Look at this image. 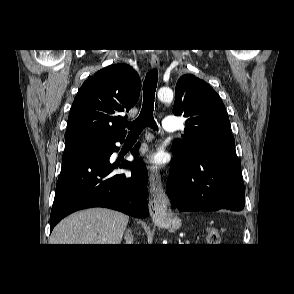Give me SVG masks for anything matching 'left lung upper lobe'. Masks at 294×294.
I'll list each match as a JSON object with an SVG mask.
<instances>
[{"label":"left lung upper lobe","instance_id":"left-lung-upper-lobe-1","mask_svg":"<svg viewBox=\"0 0 294 294\" xmlns=\"http://www.w3.org/2000/svg\"><path fill=\"white\" fill-rule=\"evenodd\" d=\"M174 115L187 118L183 140H175L172 151L181 157L195 153H218L236 157L235 139L220 96L205 81L192 74L176 84Z\"/></svg>","mask_w":294,"mask_h":294}]
</instances>
